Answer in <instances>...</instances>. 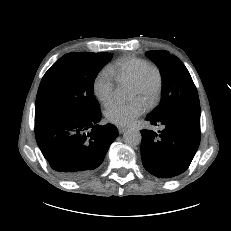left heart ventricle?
I'll list each match as a JSON object with an SVG mask.
<instances>
[{"instance_id":"1","label":"left heart ventricle","mask_w":231,"mask_h":231,"mask_svg":"<svg viewBox=\"0 0 231 231\" xmlns=\"http://www.w3.org/2000/svg\"><path fill=\"white\" fill-rule=\"evenodd\" d=\"M156 83H157L156 75L154 73L150 74L147 81H146L145 87L142 91L132 87V89H131L132 98H138V99L146 102V100L153 93V91L156 87Z\"/></svg>"}]
</instances>
